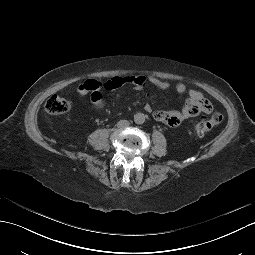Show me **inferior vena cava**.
Returning <instances> with one entry per match:
<instances>
[{"label":"inferior vena cava","instance_id":"obj_1","mask_svg":"<svg viewBox=\"0 0 255 255\" xmlns=\"http://www.w3.org/2000/svg\"><path fill=\"white\" fill-rule=\"evenodd\" d=\"M129 121L128 120H120V121H118V123H117V126L118 127H126V126H129Z\"/></svg>","mask_w":255,"mask_h":255}]
</instances>
